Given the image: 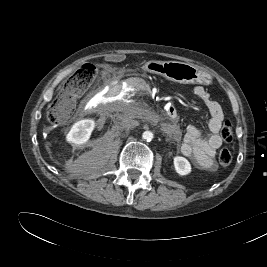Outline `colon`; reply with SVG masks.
I'll list each match as a JSON object with an SVG mask.
<instances>
[{
	"label": "colon",
	"mask_w": 267,
	"mask_h": 267,
	"mask_svg": "<svg viewBox=\"0 0 267 267\" xmlns=\"http://www.w3.org/2000/svg\"><path fill=\"white\" fill-rule=\"evenodd\" d=\"M97 75V69L92 64L82 65L66 82L63 90L52 104L47 118L52 124H58L68 118L73 112L78 97L89 88ZM222 139L230 143L233 140V127L226 121L221 129ZM219 163L228 166L232 162V153L224 148L219 152Z\"/></svg>",
	"instance_id": "5ec220e1"
}]
</instances>
